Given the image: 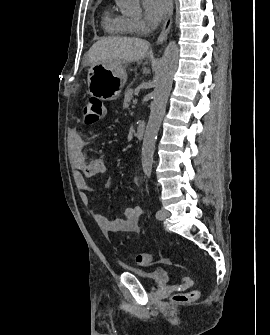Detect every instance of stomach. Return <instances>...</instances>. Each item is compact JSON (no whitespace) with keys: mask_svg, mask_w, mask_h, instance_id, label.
Segmentation results:
<instances>
[{"mask_svg":"<svg viewBox=\"0 0 270 335\" xmlns=\"http://www.w3.org/2000/svg\"><path fill=\"white\" fill-rule=\"evenodd\" d=\"M127 82V74L118 64L108 68L103 64H92L87 74L88 94L98 100H117Z\"/></svg>","mask_w":270,"mask_h":335,"instance_id":"obj_1","label":"stomach"}]
</instances>
